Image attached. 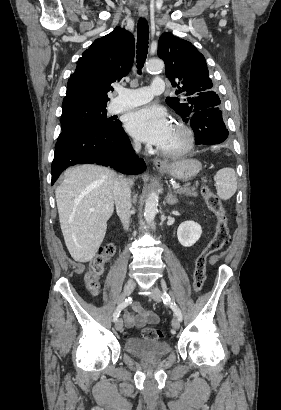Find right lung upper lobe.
I'll list each match as a JSON object with an SVG mask.
<instances>
[{
  "label": "right lung upper lobe",
  "mask_w": 281,
  "mask_h": 410,
  "mask_svg": "<svg viewBox=\"0 0 281 410\" xmlns=\"http://www.w3.org/2000/svg\"><path fill=\"white\" fill-rule=\"evenodd\" d=\"M134 60L133 35L116 27L83 52L68 80L63 106L78 103L106 105L111 83L130 71Z\"/></svg>",
  "instance_id": "cb5924a9"
}]
</instances>
